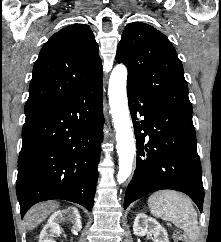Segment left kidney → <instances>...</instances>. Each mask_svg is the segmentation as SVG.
<instances>
[{
    "mask_svg": "<svg viewBox=\"0 0 221 242\" xmlns=\"http://www.w3.org/2000/svg\"><path fill=\"white\" fill-rule=\"evenodd\" d=\"M133 233L138 237L152 234L154 236V242H169L165 228L156 219L144 213H139L136 216L133 224Z\"/></svg>",
    "mask_w": 221,
    "mask_h": 242,
    "instance_id": "obj_1",
    "label": "left kidney"
}]
</instances>
